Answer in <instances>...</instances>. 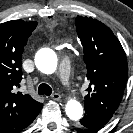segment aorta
Wrapping results in <instances>:
<instances>
[{"instance_id": "obj_1", "label": "aorta", "mask_w": 133, "mask_h": 133, "mask_svg": "<svg viewBox=\"0 0 133 133\" xmlns=\"http://www.w3.org/2000/svg\"><path fill=\"white\" fill-rule=\"evenodd\" d=\"M57 56L51 49L39 52L35 57V65L44 74H53L57 69ZM66 115L72 120H79L83 116V107L75 99L69 100L65 105Z\"/></svg>"}]
</instances>
